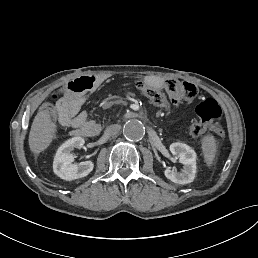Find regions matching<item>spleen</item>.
<instances>
[{
	"label": "spleen",
	"instance_id": "3e777b00",
	"mask_svg": "<svg viewBox=\"0 0 258 258\" xmlns=\"http://www.w3.org/2000/svg\"><path fill=\"white\" fill-rule=\"evenodd\" d=\"M201 144H202V151L204 154V160L207 166L210 167L213 163V160L215 158V154L217 151L216 140L214 136L207 135L202 138Z\"/></svg>",
	"mask_w": 258,
	"mask_h": 258
}]
</instances>
